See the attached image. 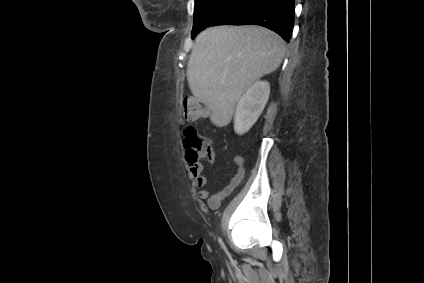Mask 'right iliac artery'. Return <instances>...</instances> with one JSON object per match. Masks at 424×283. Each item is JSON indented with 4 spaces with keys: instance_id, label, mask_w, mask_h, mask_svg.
Returning <instances> with one entry per match:
<instances>
[{
    "instance_id": "1",
    "label": "right iliac artery",
    "mask_w": 424,
    "mask_h": 283,
    "mask_svg": "<svg viewBox=\"0 0 424 283\" xmlns=\"http://www.w3.org/2000/svg\"><path fill=\"white\" fill-rule=\"evenodd\" d=\"M219 242L222 244L223 248H225L224 245H223V243H222V241H221V239H219Z\"/></svg>"
}]
</instances>
